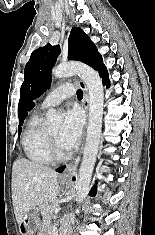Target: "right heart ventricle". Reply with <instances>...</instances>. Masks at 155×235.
I'll list each match as a JSON object with an SVG mask.
<instances>
[{"label":"right heart ventricle","mask_w":155,"mask_h":235,"mask_svg":"<svg viewBox=\"0 0 155 235\" xmlns=\"http://www.w3.org/2000/svg\"><path fill=\"white\" fill-rule=\"evenodd\" d=\"M22 147L32 163L48 164L52 161L48 148V128L41 112H35L29 117L22 137Z\"/></svg>","instance_id":"right-heart-ventricle-1"}]
</instances>
